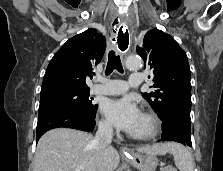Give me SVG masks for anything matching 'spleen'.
I'll return each mask as SVG.
<instances>
[{"mask_svg": "<svg viewBox=\"0 0 223 171\" xmlns=\"http://www.w3.org/2000/svg\"><path fill=\"white\" fill-rule=\"evenodd\" d=\"M171 153L179 171H194V160L187 148L181 144L172 143Z\"/></svg>", "mask_w": 223, "mask_h": 171, "instance_id": "obj_1", "label": "spleen"}]
</instances>
